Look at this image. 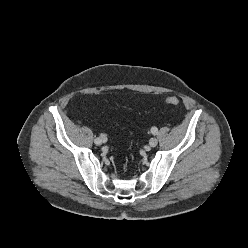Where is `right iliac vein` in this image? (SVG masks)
<instances>
[{"label":"right iliac vein","mask_w":248,"mask_h":248,"mask_svg":"<svg viewBox=\"0 0 248 248\" xmlns=\"http://www.w3.org/2000/svg\"><path fill=\"white\" fill-rule=\"evenodd\" d=\"M100 140H101V142H100V144L99 145H101L102 143H105L107 140L106 139H104V138H99Z\"/></svg>","instance_id":"obj_1"}]
</instances>
